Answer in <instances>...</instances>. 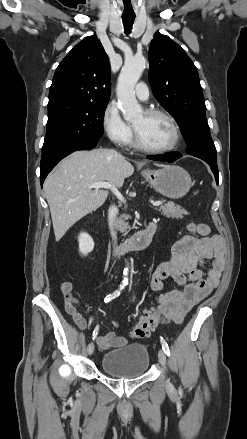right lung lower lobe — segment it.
<instances>
[{"label":"right lung lower lobe","instance_id":"98d812e1","mask_svg":"<svg viewBox=\"0 0 247 439\" xmlns=\"http://www.w3.org/2000/svg\"><path fill=\"white\" fill-rule=\"evenodd\" d=\"M97 145L96 142L80 143L75 145H70L54 150L42 153L41 165H40V182H43L48 175V173L57 165V163L70 153L77 150H91Z\"/></svg>","mask_w":247,"mask_h":439}]
</instances>
